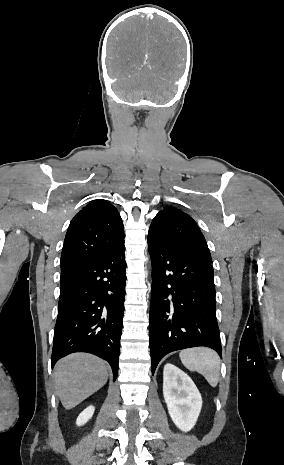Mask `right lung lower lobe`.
<instances>
[{"instance_id":"obj_1","label":"right lung lower lobe","mask_w":284,"mask_h":465,"mask_svg":"<svg viewBox=\"0 0 284 465\" xmlns=\"http://www.w3.org/2000/svg\"><path fill=\"white\" fill-rule=\"evenodd\" d=\"M124 243L98 260L61 274L52 367L74 352L108 361L114 380L124 314L126 262Z\"/></svg>"}]
</instances>
